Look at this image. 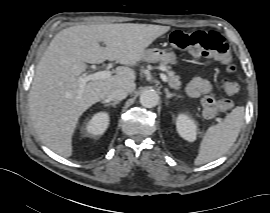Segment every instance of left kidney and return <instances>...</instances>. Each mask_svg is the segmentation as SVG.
I'll return each mask as SVG.
<instances>
[{"mask_svg": "<svg viewBox=\"0 0 270 213\" xmlns=\"http://www.w3.org/2000/svg\"><path fill=\"white\" fill-rule=\"evenodd\" d=\"M176 128L179 135L189 141L193 142L197 137V124L194 119H192L187 114H179L176 119Z\"/></svg>", "mask_w": 270, "mask_h": 213, "instance_id": "1", "label": "left kidney"}]
</instances>
